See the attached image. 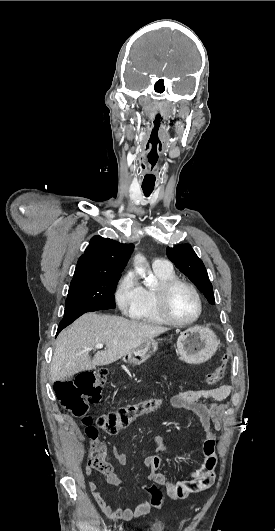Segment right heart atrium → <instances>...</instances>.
<instances>
[{"label":"right heart atrium","mask_w":275,"mask_h":531,"mask_svg":"<svg viewBox=\"0 0 275 531\" xmlns=\"http://www.w3.org/2000/svg\"><path fill=\"white\" fill-rule=\"evenodd\" d=\"M143 287L133 272L125 273L117 285L115 298L122 313L133 317L140 309L143 301Z\"/></svg>","instance_id":"1"}]
</instances>
